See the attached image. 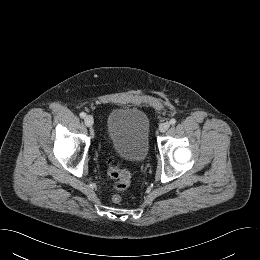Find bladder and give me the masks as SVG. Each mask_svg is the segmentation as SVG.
<instances>
[{"label":"bladder","mask_w":260,"mask_h":260,"mask_svg":"<svg viewBox=\"0 0 260 260\" xmlns=\"http://www.w3.org/2000/svg\"><path fill=\"white\" fill-rule=\"evenodd\" d=\"M149 121L146 114L136 108L113 110L107 118V133L111 145L124 160L143 162L149 153Z\"/></svg>","instance_id":"obj_1"}]
</instances>
